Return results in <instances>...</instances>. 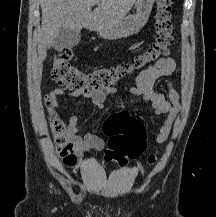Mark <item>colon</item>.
Wrapping results in <instances>:
<instances>
[{
	"instance_id": "obj_1",
	"label": "colon",
	"mask_w": 216,
	"mask_h": 217,
	"mask_svg": "<svg viewBox=\"0 0 216 217\" xmlns=\"http://www.w3.org/2000/svg\"><path fill=\"white\" fill-rule=\"evenodd\" d=\"M177 0H156L155 33L151 45L143 52L133 56L124 65L83 71L70 63L71 49L59 50L52 61L51 76L59 85L80 91L109 88L126 75L166 58L173 45L172 7ZM50 128L54 136L57 152L68 166L76 164V157L70 149L65 123L55 114H49ZM104 132L109 136L104 160L125 165L138 158L146 147V132L142 123L127 113H119L108 118ZM159 154L148 156L150 166L157 164Z\"/></svg>"
}]
</instances>
